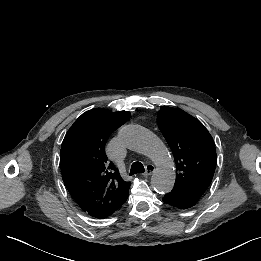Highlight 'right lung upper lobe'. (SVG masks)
I'll return each instance as SVG.
<instances>
[{
	"mask_svg": "<svg viewBox=\"0 0 261 261\" xmlns=\"http://www.w3.org/2000/svg\"><path fill=\"white\" fill-rule=\"evenodd\" d=\"M130 118V112L113 113L95 108L83 113L62 142L60 167L64 184L80 208L102 219L114 213L128 198L130 182L107 164L108 137Z\"/></svg>",
	"mask_w": 261,
	"mask_h": 261,
	"instance_id": "obj_1",
	"label": "right lung upper lobe"
}]
</instances>
